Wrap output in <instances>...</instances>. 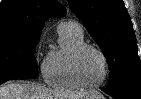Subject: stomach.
I'll use <instances>...</instances> for the list:
<instances>
[{
    "mask_svg": "<svg viewBox=\"0 0 141 99\" xmlns=\"http://www.w3.org/2000/svg\"><path fill=\"white\" fill-rule=\"evenodd\" d=\"M88 99H98V98H97V95H94V96H92V97H90Z\"/></svg>",
    "mask_w": 141,
    "mask_h": 99,
    "instance_id": "0dacf381",
    "label": "stomach"
}]
</instances>
